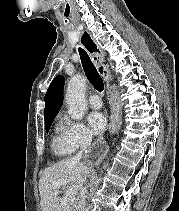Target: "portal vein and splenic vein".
<instances>
[{
    "instance_id": "portal-vein-and-splenic-vein-1",
    "label": "portal vein and splenic vein",
    "mask_w": 179,
    "mask_h": 211,
    "mask_svg": "<svg viewBox=\"0 0 179 211\" xmlns=\"http://www.w3.org/2000/svg\"><path fill=\"white\" fill-rule=\"evenodd\" d=\"M66 184H67L66 180L60 179V180H57V181L54 182V187L56 188L58 186H65ZM76 194H77L76 190L68 188L65 191L64 198L72 199V198H75Z\"/></svg>"
}]
</instances>
